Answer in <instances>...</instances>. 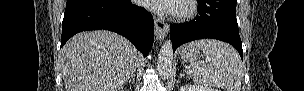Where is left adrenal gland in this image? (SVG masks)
<instances>
[{
    "mask_svg": "<svg viewBox=\"0 0 304 91\" xmlns=\"http://www.w3.org/2000/svg\"><path fill=\"white\" fill-rule=\"evenodd\" d=\"M185 76V72L183 70V72L180 74V78L184 77Z\"/></svg>",
    "mask_w": 304,
    "mask_h": 91,
    "instance_id": "1",
    "label": "left adrenal gland"
}]
</instances>
